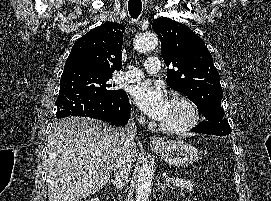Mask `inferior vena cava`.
Wrapping results in <instances>:
<instances>
[{"label":"inferior vena cava","mask_w":271,"mask_h":201,"mask_svg":"<svg viewBox=\"0 0 271 201\" xmlns=\"http://www.w3.org/2000/svg\"><path fill=\"white\" fill-rule=\"evenodd\" d=\"M143 123L144 118L137 119ZM137 126L133 122H128L124 127L116 129L115 140L118 143L117 153L114 158L113 170L115 185L121 189L128 179L132 166V149L136 136Z\"/></svg>","instance_id":"1"}]
</instances>
